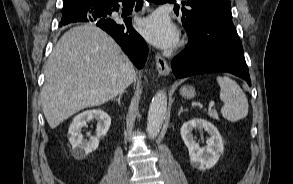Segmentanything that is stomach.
Returning <instances> with one entry per match:
<instances>
[{"label": "stomach", "mask_w": 293, "mask_h": 184, "mask_svg": "<svg viewBox=\"0 0 293 184\" xmlns=\"http://www.w3.org/2000/svg\"><path fill=\"white\" fill-rule=\"evenodd\" d=\"M180 94L184 98L191 99L196 95V91L194 87L185 85L180 88Z\"/></svg>", "instance_id": "1"}]
</instances>
